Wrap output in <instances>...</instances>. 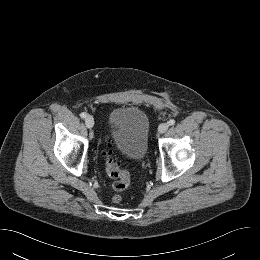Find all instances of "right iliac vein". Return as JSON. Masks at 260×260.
I'll list each match as a JSON object with an SVG mask.
<instances>
[{
    "mask_svg": "<svg viewBox=\"0 0 260 260\" xmlns=\"http://www.w3.org/2000/svg\"><path fill=\"white\" fill-rule=\"evenodd\" d=\"M85 125L87 128H92L94 126V119L92 116H87L85 118Z\"/></svg>",
    "mask_w": 260,
    "mask_h": 260,
    "instance_id": "right-iliac-vein-1",
    "label": "right iliac vein"
}]
</instances>
